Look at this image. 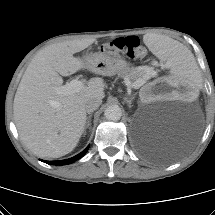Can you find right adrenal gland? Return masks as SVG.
<instances>
[{
	"label": "right adrenal gland",
	"mask_w": 215,
	"mask_h": 215,
	"mask_svg": "<svg viewBox=\"0 0 215 215\" xmlns=\"http://www.w3.org/2000/svg\"><path fill=\"white\" fill-rule=\"evenodd\" d=\"M91 117H92V114L89 113L88 117H87V121H86V125H85V132H86V129L87 128H91Z\"/></svg>",
	"instance_id": "right-adrenal-gland-1"
}]
</instances>
